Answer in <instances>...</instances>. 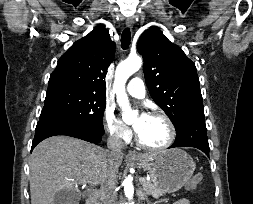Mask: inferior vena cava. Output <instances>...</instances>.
I'll list each match as a JSON object with an SVG mask.
<instances>
[{
  "label": "inferior vena cava",
  "mask_w": 253,
  "mask_h": 204,
  "mask_svg": "<svg viewBox=\"0 0 253 204\" xmlns=\"http://www.w3.org/2000/svg\"><path fill=\"white\" fill-rule=\"evenodd\" d=\"M107 147H108V159H111L122 153V149L124 147V143L122 139L118 137L117 134H111L107 140ZM116 186V171L112 170L106 179L101 183L100 192H101V199L103 200L104 204H116L117 200V193L115 192Z\"/></svg>",
  "instance_id": "obj_1"
}]
</instances>
